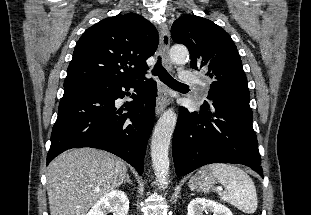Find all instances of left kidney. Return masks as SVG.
Returning <instances> with one entry per match:
<instances>
[{"instance_id":"obj_1","label":"left kidney","mask_w":311,"mask_h":215,"mask_svg":"<svg viewBox=\"0 0 311 215\" xmlns=\"http://www.w3.org/2000/svg\"><path fill=\"white\" fill-rule=\"evenodd\" d=\"M203 212L213 213V215H233L226 206L212 200L195 198L190 201L188 215H203Z\"/></svg>"}]
</instances>
